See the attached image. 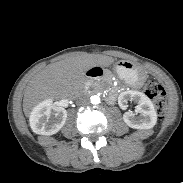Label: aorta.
<instances>
[{
	"instance_id": "obj_1",
	"label": "aorta",
	"mask_w": 183,
	"mask_h": 183,
	"mask_svg": "<svg viewBox=\"0 0 183 183\" xmlns=\"http://www.w3.org/2000/svg\"><path fill=\"white\" fill-rule=\"evenodd\" d=\"M90 101L94 105H97V104H99L101 102L100 97L97 96V95L91 96Z\"/></svg>"
}]
</instances>
